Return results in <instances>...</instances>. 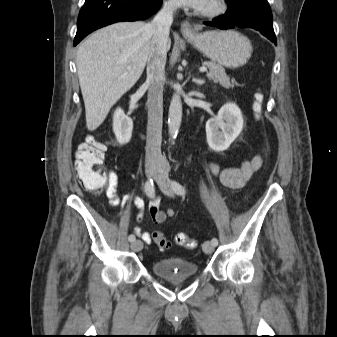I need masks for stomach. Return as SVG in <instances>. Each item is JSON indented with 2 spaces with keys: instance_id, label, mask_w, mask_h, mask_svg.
<instances>
[{
  "instance_id": "obj_1",
  "label": "stomach",
  "mask_w": 337,
  "mask_h": 337,
  "mask_svg": "<svg viewBox=\"0 0 337 337\" xmlns=\"http://www.w3.org/2000/svg\"><path fill=\"white\" fill-rule=\"evenodd\" d=\"M184 37L212 62L228 68L245 65L252 54L250 41L233 30L207 31Z\"/></svg>"
}]
</instances>
